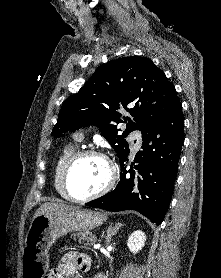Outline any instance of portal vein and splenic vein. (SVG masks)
Masks as SVG:
<instances>
[{
	"instance_id": "portal-vein-and-splenic-vein-1",
	"label": "portal vein and splenic vein",
	"mask_w": 221,
	"mask_h": 278,
	"mask_svg": "<svg viewBox=\"0 0 221 278\" xmlns=\"http://www.w3.org/2000/svg\"><path fill=\"white\" fill-rule=\"evenodd\" d=\"M99 247H100V244L94 245V248H99Z\"/></svg>"
}]
</instances>
